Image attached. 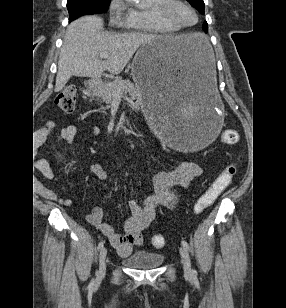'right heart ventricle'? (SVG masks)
Masks as SVG:
<instances>
[{
    "label": "right heart ventricle",
    "mask_w": 286,
    "mask_h": 308,
    "mask_svg": "<svg viewBox=\"0 0 286 308\" xmlns=\"http://www.w3.org/2000/svg\"><path fill=\"white\" fill-rule=\"evenodd\" d=\"M148 8H132L128 26L133 31L143 33L171 34L180 30L177 26L162 19L155 8L162 4L164 0H150Z\"/></svg>",
    "instance_id": "1"
}]
</instances>
